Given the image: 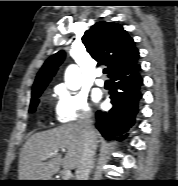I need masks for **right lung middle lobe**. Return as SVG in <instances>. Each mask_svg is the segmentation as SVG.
<instances>
[{
  "mask_svg": "<svg viewBox=\"0 0 178 186\" xmlns=\"http://www.w3.org/2000/svg\"><path fill=\"white\" fill-rule=\"evenodd\" d=\"M43 92V90H40L38 92H36L35 94L32 95V99H31V103H30V109L29 112L33 113L39 103V97L41 95V93Z\"/></svg>",
  "mask_w": 178,
  "mask_h": 186,
  "instance_id": "1",
  "label": "right lung middle lobe"
}]
</instances>
